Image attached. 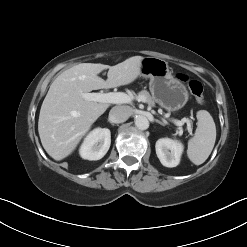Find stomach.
<instances>
[{"label": "stomach", "mask_w": 247, "mask_h": 247, "mask_svg": "<svg viewBox=\"0 0 247 247\" xmlns=\"http://www.w3.org/2000/svg\"><path fill=\"white\" fill-rule=\"evenodd\" d=\"M140 76L148 78L152 98L162 108L175 112L189 99L186 87L172 75L168 63L157 57H145L141 61Z\"/></svg>", "instance_id": "0dacf381"}]
</instances>
